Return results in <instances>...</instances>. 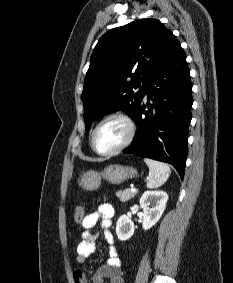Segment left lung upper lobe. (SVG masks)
Returning a JSON list of instances; mask_svg holds the SVG:
<instances>
[{
  "label": "left lung upper lobe",
  "instance_id": "left-lung-upper-lobe-1",
  "mask_svg": "<svg viewBox=\"0 0 233 283\" xmlns=\"http://www.w3.org/2000/svg\"><path fill=\"white\" fill-rule=\"evenodd\" d=\"M177 43L156 19H138L105 33L94 48L84 80L86 130L92 121L117 110L134 118L145 93L141 82L146 84Z\"/></svg>",
  "mask_w": 233,
  "mask_h": 283
}]
</instances>
